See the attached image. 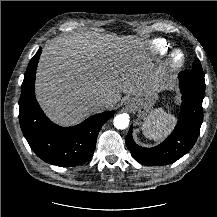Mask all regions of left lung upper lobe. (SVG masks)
Returning <instances> with one entry per match:
<instances>
[{
    "label": "left lung upper lobe",
    "mask_w": 217,
    "mask_h": 217,
    "mask_svg": "<svg viewBox=\"0 0 217 217\" xmlns=\"http://www.w3.org/2000/svg\"><path fill=\"white\" fill-rule=\"evenodd\" d=\"M197 80H199L202 83H205L204 80V73L200 64L199 59H196V61L193 64L192 69L189 71Z\"/></svg>",
    "instance_id": "5c2ea615"
}]
</instances>
